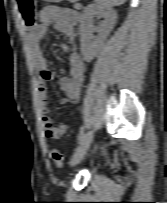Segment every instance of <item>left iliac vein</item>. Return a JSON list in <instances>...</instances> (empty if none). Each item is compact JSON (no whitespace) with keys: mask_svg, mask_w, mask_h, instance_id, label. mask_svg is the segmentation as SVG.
I'll return each mask as SVG.
<instances>
[{"mask_svg":"<svg viewBox=\"0 0 167 203\" xmlns=\"http://www.w3.org/2000/svg\"><path fill=\"white\" fill-rule=\"evenodd\" d=\"M94 132L93 130H89L80 141L78 147L76 148L71 161L70 165L75 166L77 163H79L84 155L86 154L92 140H93Z\"/></svg>","mask_w":167,"mask_h":203,"instance_id":"left-iliac-vein-1","label":"left iliac vein"}]
</instances>
